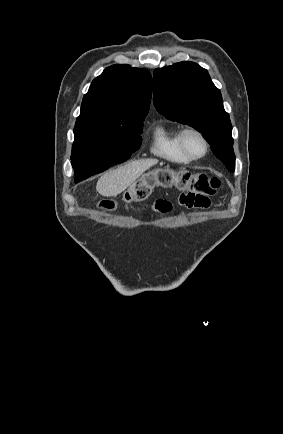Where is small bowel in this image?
I'll list each match as a JSON object with an SVG mask.
<instances>
[{
    "instance_id": "c3829d8e",
    "label": "small bowel",
    "mask_w": 283,
    "mask_h": 434,
    "mask_svg": "<svg viewBox=\"0 0 283 434\" xmlns=\"http://www.w3.org/2000/svg\"><path fill=\"white\" fill-rule=\"evenodd\" d=\"M179 203L188 208L205 209L210 205L209 198L193 192L182 193L179 197ZM154 212L165 214L172 209V203L166 199H157L150 206Z\"/></svg>"
}]
</instances>
